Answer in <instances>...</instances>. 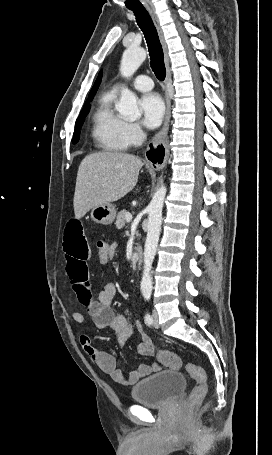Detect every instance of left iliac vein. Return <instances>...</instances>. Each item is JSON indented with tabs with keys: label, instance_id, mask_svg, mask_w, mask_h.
<instances>
[{
	"label": "left iliac vein",
	"instance_id": "left-iliac-vein-1",
	"mask_svg": "<svg viewBox=\"0 0 272 455\" xmlns=\"http://www.w3.org/2000/svg\"><path fill=\"white\" fill-rule=\"evenodd\" d=\"M152 316H153V326H154L155 328H159L158 313H157L156 310L153 311Z\"/></svg>",
	"mask_w": 272,
	"mask_h": 455
}]
</instances>
